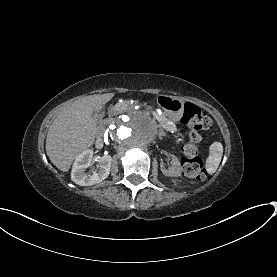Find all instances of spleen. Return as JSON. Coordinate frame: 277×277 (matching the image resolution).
Returning a JSON list of instances; mask_svg holds the SVG:
<instances>
[{"label":"spleen","instance_id":"spleen-1","mask_svg":"<svg viewBox=\"0 0 277 277\" xmlns=\"http://www.w3.org/2000/svg\"><path fill=\"white\" fill-rule=\"evenodd\" d=\"M223 154V146L220 142H214L210 146V153L206 160V169L209 174L215 173Z\"/></svg>","mask_w":277,"mask_h":277}]
</instances>
